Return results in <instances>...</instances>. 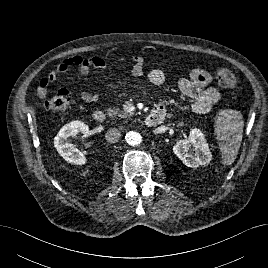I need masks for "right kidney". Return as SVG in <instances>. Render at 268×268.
Listing matches in <instances>:
<instances>
[{"label":"right kidney","mask_w":268,"mask_h":268,"mask_svg":"<svg viewBox=\"0 0 268 268\" xmlns=\"http://www.w3.org/2000/svg\"><path fill=\"white\" fill-rule=\"evenodd\" d=\"M79 132L83 134V137L88 136V125L82 121H72L64 125L54 138V146L60 156L67 162L75 165H84L87 161L84 154L68 142L69 137L75 136Z\"/></svg>","instance_id":"ca27d5eb"}]
</instances>
